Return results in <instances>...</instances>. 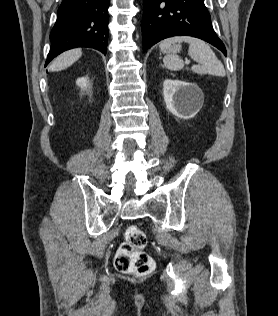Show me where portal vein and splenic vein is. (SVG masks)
Listing matches in <instances>:
<instances>
[{
  "label": "portal vein and splenic vein",
  "mask_w": 278,
  "mask_h": 316,
  "mask_svg": "<svg viewBox=\"0 0 278 316\" xmlns=\"http://www.w3.org/2000/svg\"><path fill=\"white\" fill-rule=\"evenodd\" d=\"M185 63H186V64H189V63H190V61H189V60H186V61H185Z\"/></svg>",
  "instance_id": "obj_1"
}]
</instances>
